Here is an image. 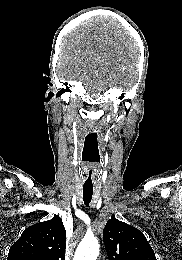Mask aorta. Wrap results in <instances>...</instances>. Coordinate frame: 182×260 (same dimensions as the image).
Masks as SVG:
<instances>
[{"instance_id":"obj_1","label":"aorta","mask_w":182,"mask_h":260,"mask_svg":"<svg viewBox=\"0 0 182 260\" xmlns=\"http://www.w3.org/2000/svg\"><path fill=\"white\" fill-rule=\"evenodd\" d=\"M99 243L95 237H85L78 245L73 260H96Z\"/></svg>"}]
</instances>
